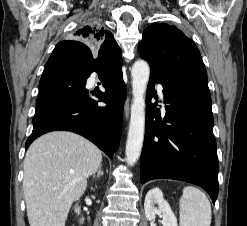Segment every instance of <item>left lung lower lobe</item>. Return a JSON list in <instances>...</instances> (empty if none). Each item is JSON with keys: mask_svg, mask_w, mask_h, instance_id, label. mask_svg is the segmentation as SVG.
<instances>
[{"mask_svg": "<svg viewBox=\"0 0 247 226\" xmlns=\"http://www.w3.org/2000/svg\"><path fill=\"white\" fill-rule=\"evenodd\" d=\"M155 83L163 86L166 114L151 103ZM155 118L156 120H153ZM218 158L207 76L182 72L166 77L151 71L147 87L146 129L140 181L175 179L202 187L215 204Z\"/></svg>", "mask_w": 247, "mask_h": 226, "instance_id": "0a47b994", "label": "left lung lower lobe"}]
</instances>
